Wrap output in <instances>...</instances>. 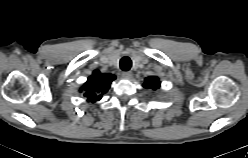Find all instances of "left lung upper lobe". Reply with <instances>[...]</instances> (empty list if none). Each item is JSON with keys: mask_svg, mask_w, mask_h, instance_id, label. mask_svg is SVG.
I'll return each mask as SVG.
<instances>
[{"mask_svg": "<svg viewBox=\"0 0 248 158\" xmlns=\"http://www.w3.org/2000/svg\"><path fill=\"white\" fill-rule=\"evenodd\" d=\"M143 86L145 88H152L154 90L158 89L160 87V83L157 77L155 76H150L146 79L144 82Z\"/></svg>", "mask_w": 248, "mask_h": 158, "instance_id": "1", "label": "left lung upper lobe"}]
</instances>
